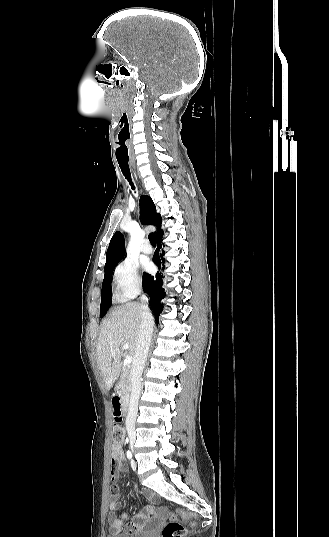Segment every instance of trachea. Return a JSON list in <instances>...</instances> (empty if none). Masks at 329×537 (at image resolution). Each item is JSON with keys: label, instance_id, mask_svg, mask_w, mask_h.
Listing matches in <instances>:
<instances>
[{"label": "trachea", "instance_id": "1", "mask_svg": "<svg viewBox=\"0 0 329 537\" xmlns=\"http://www.w3.org/2000/svg\"><path fill=\"white\" fill-rule=\"evenodd\" d=\"M119 166H120V169L123 173V175L125 176V178L129 181L132 189L134 190L135 189V186L133 185V182L131 180V173H130V169H129V165L128 164H123V163H119ZM149 241L150 243L153 245V246H156V237L154 234H150L149 235Z\"/></svg>", "mask_w": 329, "mask_h": 537}]
</instances>
